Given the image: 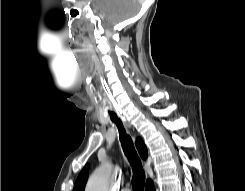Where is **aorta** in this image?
<instances>
[{
  "instance_id": "762f6f07",
  "label": "aorta",
  "mask_w": 245,
  "mask_h": 191,
  "mask_svg": "<svg viewBox=\"0 0 245 191\" xmlns=\"http://www.w3.org/2000/svg\"><path fill=\"white\" fill-rule=\"evenodd\" d=\"M111 165L102 164L89 178L85 191H108Z\"/></svg>"
}]
</instances>
